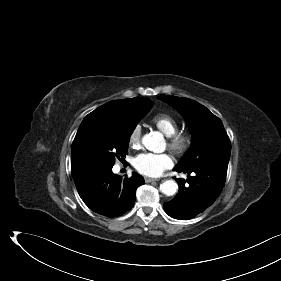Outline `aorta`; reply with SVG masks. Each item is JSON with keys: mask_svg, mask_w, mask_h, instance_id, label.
<instances>
[{"mask_svg": "<svg viewBox=\"0 0 281 281\" xmlns=\"http://www.w3.org/2000/svg\"><path fill=\"white\" fill-rule=\"evenodd\" d=\"M142 143L146 149L156 152L163 143V136L159 132H150L142 138ZM160 190L167 196L174 195L178 190V185L174 180H166L160 185Z\"/></svg>", "mask_w": 281, "mask_h": 281, "instance_id": "762f6f07", "label": "aorta"}]
</instances>
